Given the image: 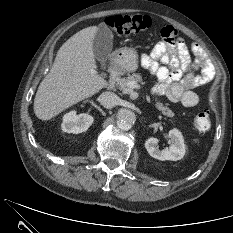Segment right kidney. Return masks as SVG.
Instances as JSON below:
<instances>
[{
	"label": "right kidney",
	"mask_w": 233,
	"mask_h": 233,
	"mask_svg": "<svg viewBox=\"0 0 233 233\" xmlns=\"http://www.w3.org/2000/svg\"><path fill=\"white\" fill-rule=\"evenodd\" d=\"M93 117L89 114H76V111H70L63 116L61 124L62 130L67 133H82L93 123Z\"/></svg>",
	"instance_id": "obj_1"
}]
</instances>
